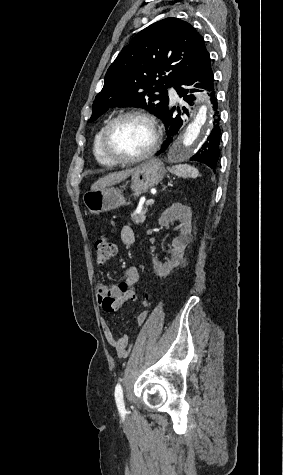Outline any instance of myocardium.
Wrapping results in <instances>:
<instances>
[{
  "label": "myocardium",
  "instance_id": "myocardium-1",
  "mask_svg": "<svg viewBox=\"0 0 283 475\" xmlns=\"http://www.w3.org/2000/svg\"><path fill=\"white\" fill-rule=\"evenodd\" d=\"M128 117L142 118V119L146 120L151 125L152 130H153L152 143H151L150 147L148 148V150L145 153H143V154H141L137 157H133V158L113 157L108 153V150H107V144H108L110 133H111L113 127L115 126V124L118 121H120L124 118H128ZM160 142H161V128H160V125H159V122H158V119L156 118V116L151 114V113L145 112V111H135V110H133V111H126V112L120 113L119 115L115 116L113 119H111L108 122V124L106 125V127H105V129L102 133V136H101L100 148H101V152H102L103 156H105V158L108 162H134L135 165H136V164H140V163L146 161L147 159H149L150 157H152L154 155V153L157 151V149L160 145Z\"/></svg>",
  "mask_w": 283,
  "mask_h": 475
}]
</instances>
